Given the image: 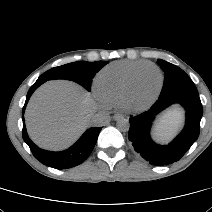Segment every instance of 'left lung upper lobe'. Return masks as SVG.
<instances>
[{"label": "left lung upper lobe", "mask_w": 212, "mask_h": 212, "mask_svg": "<svg viewBox=\"0 0 212 212\" xmlns=\"http://www.w3.org/2000/svg\"><path fill=\"white\" fill-rule=\"evenodd\" d=\"M158 63L165 72L164 85L159 97L180 92L198 94L193 81L182 69L161 59H158Z\"/></svg>", "instance_id": "left-lung-upper-lobe-1"}]
</instances>
